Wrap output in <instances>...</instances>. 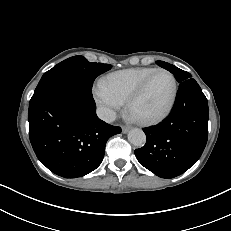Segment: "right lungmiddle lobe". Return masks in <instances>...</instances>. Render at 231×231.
<instances>
[{
    "label": "right lung middle lobe",
    "mask_w": 231,
    "mask_h": 231,
    "mask_svg": "<svg viewBox=\"0 0 231 231\" xmlns=\"http://www.w3.org/2000/svg\"><path fill=\"white\" fill-rule=\"evenodd\" d=\"M110 64L91 63L83 56L68 58L44 73L32 98L48 90L57 83H74L87 90H92L95 78L110 70Z\"/></svg>",
    "instance_id": "1"
}]
</instances>
